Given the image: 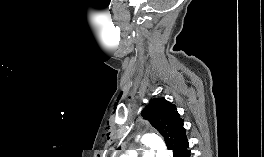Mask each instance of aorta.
Here are the masks:
<instances>
[{"label": "aorta", "instance_id": "aorta-1", "mask_svg": "<svg viewBox=\"0 0 264 157\" xmlns=\"http://www.w3.org/2000/svg\"><path fill=\"white\" fill-rule=\"evenodd\" d=\"M142 143H144L145 145L151 146L152 148H154L156 150V157H171V152H169L163 141L155 134H147L144 135L141 139ZM130 156L128 157H136V156H131V155H135L130 153Z\"/></svg>", "mask_w": 264, "mask_h": 157}]
</instances>
